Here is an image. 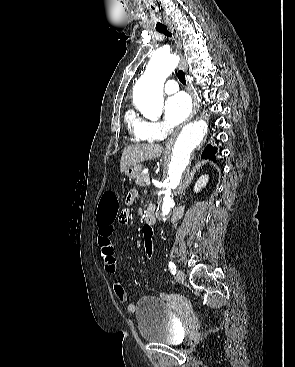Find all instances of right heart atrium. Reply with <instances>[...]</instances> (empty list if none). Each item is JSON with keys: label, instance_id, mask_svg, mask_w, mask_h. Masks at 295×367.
<instances>
[{"label": "right heart atrium", "instance_id": "right-heart-atrium-1", "mask_svg": "<svg viewBox=\"0 0 295 367\" xmlns=\"http://www.w3.org/2000/svg\"><path fill=\"white\" fill-rule=\"evenodd\" d=\"M148 131L153 139H162L169 133L168 126L160 121L149 122Z\"/></svg>", "mask_w": 295, "mask_h": 367}]
</instances>
